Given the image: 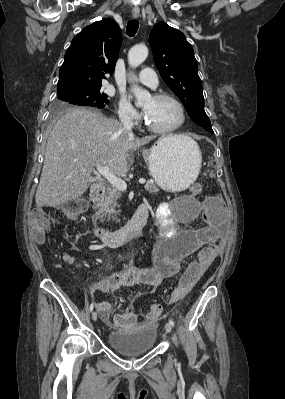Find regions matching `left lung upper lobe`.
I'll return each mask as SVG.
<instances>
[{"mask_svg":"<svg viewBox=\"0 0 285 399\" xmlns=\"http://www.w3.org/2000/svg\"><path fill=\"white\" fill-rule=\"evenodd\" d=\"M149 44L162 79L183 102L191 119L213 133L211 122L204 111L198 64L185 35L165 22H160L151 30Z\"/></svg>","mask_w":285,"mask_h":399,"instance_id":"1","label":"left lung upper lobe"}]
</instances>
